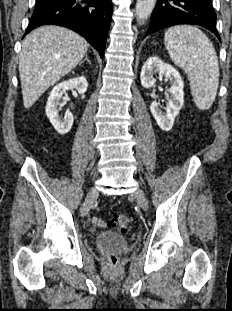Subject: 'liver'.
<instances>
[{
    "label": "liver",
    "mask_w": 232,
    "mask_h": 311,
    "mask_svg": "<svg viewBox=\"0 0 232 311\" xmlns=\"http://www.w3.org/2000/svg\"><path fill=\"white\" fill-rule=\"evenodd\" d=\"M88 50L87 41L62 27L43 26L27 35L19 58V75L26 109L75 68Z\"/></svg>",
    "instance_id": "1"
}]
</instances>
